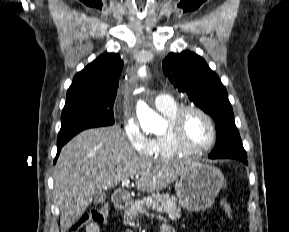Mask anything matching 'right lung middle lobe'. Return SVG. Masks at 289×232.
Listing matches in <instances>:
<instances>
[{
  "label": "right lung middle lobe",
  "mask_w": 289,
  "mask_h": 232,
  "mask_svg": "<svg viewBox=\"0 0 289 232\" xmlns=\"http://www.w3.org/2000/svg\"><path fill=\"white\" fill-rule=\"evenodd\" d=\"M116 97H81L67 100L61 115L57 146H63L82 130L114 124Z\"/></svg>",
  "instance_id": "1"
}]
</instances>
